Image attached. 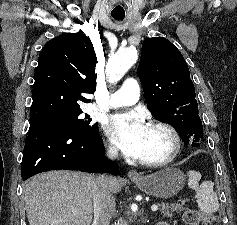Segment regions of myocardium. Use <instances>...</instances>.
Masks as SVG:
<instances>
[{
  "instance_id": "myocardium-1",
  "label": "myocardium",
  "mask_w": 237,
  "mask_h": 225,
  "mask_svg": "<svg viewBox=\"0 0 237 225\" xmlns=\"http://www.w3.org/2000/svg\"><path fill=\"white\" fill-rule=\"evenodd\" d=\"M148 127L155 128L166 132L171 138V149L169 153L159 159H139V163L149 167H161L172 162L181 150V138L178 131L170 124L161 121H152Z\"/></svg>"
}]
</instances>
